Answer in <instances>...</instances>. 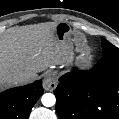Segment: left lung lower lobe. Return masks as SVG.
I'll list each match as a JSON object with an SVG mask.
<instances>
[{
  "instance_id": "left-lung-lower-lobe-1",
  "label": "left lung lower lobe",
  "mask_w": 119,
  "mask_h": 119,
  "mask_svg": "<svg viewBox=\"0 0 119 119\" xmlns=\"http://www.w3.org/2000/svg\"><path fill=\"white\" fill-rule=\"evenodd\" d=\"M102 47L92 69L59 78L54 94L60 119H119V48L104 38Z\"/></svg>"
}]
</instances>
